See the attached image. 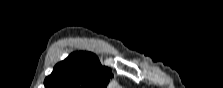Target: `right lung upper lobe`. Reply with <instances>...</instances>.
Listing matches in <instances>:
<instances>
[{"label":"right lung upper lobe","mask_w":223,"mask_h":88,"mask_svg":"<svg viewBox=\"0 0 223 88\" xmlns=\"http://www.w3.org/2000/svg\"><path fill=\"white\" fill-rule=\"evenodd\" d=\"M110 73L93 53L74 52L46 77L45 88H106Z\"/></svg>","instance_id":"right-lung-upper-lobe-1"}]
</instances>
